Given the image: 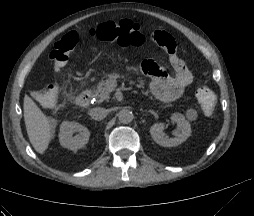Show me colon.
Instances as JSON below:
<instances>
[{"instance_id":"obj_1","label":"colon","mask_w":254,"mask_h":216,"mask_svg":"<svg viewBox=\"0 0 254 216\" xmlns=\"http://www.w3.org/2000/svg\"><path fill=\"white\" fill-rule=\"evenodd\" d=\"M90 33L98 39L118 44L120 46H140L146 41L141 27L128 20L118 23H101L97 27L93 28ZM78 41L79 34L72 31L62 36L54 44L49 54V58L56 71L61 70L66 65L69 57L74 53ZM195 95L203 113L206 116L211 117L216 110L217 99L215 93L208 85L199 83L196 86ZM58 97L59 90L55 84H50L44 90L36 91L35 93V98L43 106L48 108L55 106Z\"/></svg>"}]
</instances>
